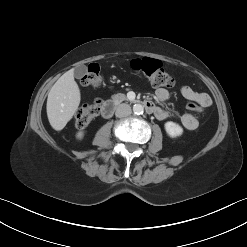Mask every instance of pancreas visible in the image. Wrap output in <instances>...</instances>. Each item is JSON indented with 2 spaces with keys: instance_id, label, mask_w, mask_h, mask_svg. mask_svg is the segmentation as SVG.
Segmentation results:
<instances>
[{
  "instance_id": "pancreas-1",
  "label": "pancreas",
  "mask_w": 247,
  "mask_h": 247,
  "mask_svg": "<svg viewBox=\"0 0 247 247\" xmlns=\"http://www.w3.org/2000/svg\"><path fill=\"white\" fill-rule=\"evenodd\" d=\"M111 98H112L113 102L116 104H119L124 100H127L126 96L122 93L115 94Z\"/></svg>"
}]
</instances>
